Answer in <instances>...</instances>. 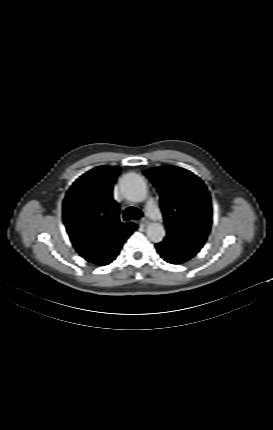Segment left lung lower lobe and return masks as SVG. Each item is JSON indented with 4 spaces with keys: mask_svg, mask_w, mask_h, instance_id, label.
<instances>
[{
    "mask_svg": "<svg viewBox=\"0 0 273 430\" xmlns=\"http://www.w3.org/2000/svg\"><path fill=\"white\" fill-rule=\"evenodd\" d=\"M168 245L169 244L165 242H160L155 245L157 252L166 262L171 264H181L187 261V258L183 253L179 251L170 252Z\"/></svg>",
    "mask_w": 273,
    "mask_h": 430,
    "instance_id": "left-lung-lower-lobe-1",
    "label": "left lung lower lobe"
}]
</instances>
